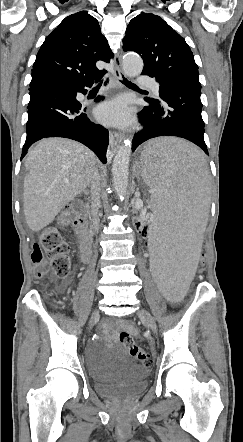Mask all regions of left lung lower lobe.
<instances>
[{"instance_id": "1", "label": "left lung lower lobe", "mask_w": 243, "mask_h": 442, "mask_svg": "<svg viewBox=\"0 0 243 442\" xmlns=\"http://www.w3.org/2000/svg\"><path fill=\"white\" fill-rule=\"evenodd\" d=\"M149 75L150 73H142ZM161 101L145 98L150 104L140 112L143 130L135 134L132 151L141 143L159 136H177L198 145L208 154L201 116V84L197 80L173 78L159 81Z\"/></svg>"}]
</instances>
